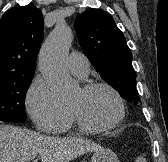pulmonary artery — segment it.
<instances>
[{"mask_svg":"<svg viewBox=\"0 0 168 162\" xmlns=\"http://www.w3.org/2000/svg\"><path fill=\"white\" fill-rule=\"evenodd\" d=\"M89 60L81 53L73 52L67 58V67L72 74L79 78H85L89 71Z\"/></svg>","mask_w":168,"mask_h":162,"instance_id":"e3ab8cb5","label":"pulmonary artery"}]
</instances>
